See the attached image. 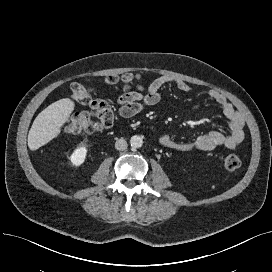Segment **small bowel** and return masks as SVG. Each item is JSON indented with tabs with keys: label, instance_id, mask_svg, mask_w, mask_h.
<instances>
[{
	"label": "small bowel",
	"instance_id": "1",
	"mask_svg": "<svg viewBox=\"0 0 272 272\" xmlns=\"http://www.w3.org/2000/svg\"><path fill=\"white\" fill-rule=\"evenodd\" d=\"M171 84L183 92H192L193 88L185 81L161 76L155 79L147 88L138 86L134 91L121 94L117 99L118 113L123 118H131L142 112L145 108L154 106L160 101V89ZM209 97L221 108L225 115L229 132L210 131L199 135L190 141H178L170 135L164 134L159 138L162 147L179 152L193 150L209 151L217 147L236 149L244 140L245 118L243 114L230 103L226 97L217 90L208 91Z\"/></svg>",
	"mask_w": 272,
	"mask_h": 272
}]
</instances>
